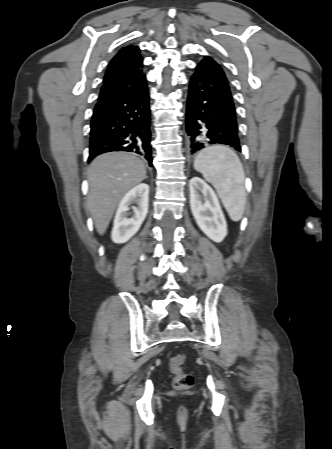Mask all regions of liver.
<instances>
[{
    "label": "liver",
    "mask_w": 332,
    "mask_h": 449,
    "mask_svg": "<svg viewBox=\"0 0 332 449\" xmlns=\"http://www.w3.org/2000/svg\"><path fill=\"white\" fill-rule=\"evenodd\" d=\"M87 178V209L97 232L103 235L124 195L146 178V168L134 155L109 152L92 161Z\"/></svg>",
    "instance_id": "1"
}]
</instances>
